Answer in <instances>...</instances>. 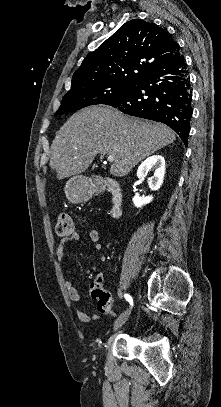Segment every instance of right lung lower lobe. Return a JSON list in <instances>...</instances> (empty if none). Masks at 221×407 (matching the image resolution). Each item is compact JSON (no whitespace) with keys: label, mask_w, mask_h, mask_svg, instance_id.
<instances>
[{"label":"right lung lower lobe","mask_w":221,"mask_h":407,"mask_svg":"<svg viewBox=\"0 0 221 407\" xmlns=\"http://www.w3.org/2000/svg\"><path fill=\"white\" fill-rule=\"evenodd\" d=\"M191 93L187 64L179 47L171 58L148 71L128 93L105 104L168 125L187 146Z\"/></svg>","instance_id":"1"}]
</instances>
